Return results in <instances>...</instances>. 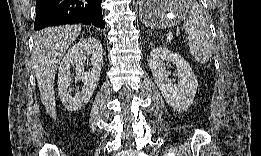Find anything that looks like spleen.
Returning <instances> with one entry per match:
<instances>
[{
    "instance_id": "1",
    "label": "spleen",
    "mask_w": 261,
    "mask_h": 156,
    "mask_svg": "<svg viewBox=\"0 0 261 156\" xmlns=\"http://www.w3.org/2000/svg\"><path fill=\"white\" fill-rule=\"evenodd\" d=\"M168 6V9H171ZM184 8V23L183 26L188 34L189 49L194 59L204 64L212 57L213 40L208 24L203 18L200 6L192 1H185Z\"/></svg>"
}]
</instances>
